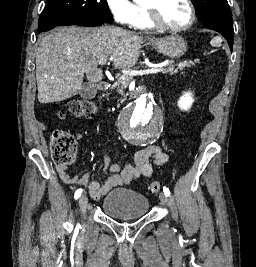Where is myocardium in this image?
I'll list each match as a JSON object with an SVG mask.
<instances>
[{
  "label": "myocardium",
  "mask_w": 256,
  "mask_h": 267,
  "mask_svg": "<svg viewBox=\"0 0 256 267\" xmlns=\"http://www.w3.org/2000/svg\"><path fill=\"white\" fill-rule=\"evenodd\" d=\"M162 1H166V0H146V14L144 16V20L145 21H150L153 22V26L151 29L149 30H158V31H162V32H171V33H179V32H183L186 31L188 29H190L196 20V12H195V8L193 6V4L189 1V0H181L182 2H184L187 7L189 8L190 11V18L189 21L181 26V27H174L171 25H163L160 24L156 21V16L154 13V10L156 8V5Z\"/></svg>",
  "instance_id": "myocardium-1"
}]
</instances>
